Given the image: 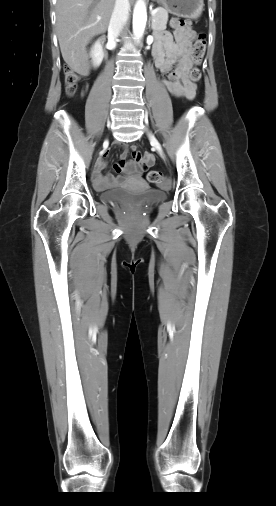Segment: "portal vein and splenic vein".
Wrapping results in <instances>:
<instances>
[{"instance_id":"18ae733b","label":"portal vein and splenic vein","mask_w":276,"mask_h":506,"mask_svg":"<svg viewBox=\"0 0 276 506\" xmlns=\"http://www.w3.org/2000/svg\"><path fill=\"white\" fill-rule=\"evenodd\" d=\"M156 12H157V9H154V10L152 11V16H153ZM97 19H98V20H100L101 18H100V17H98Z\"/></svg>"}]
</instances>
